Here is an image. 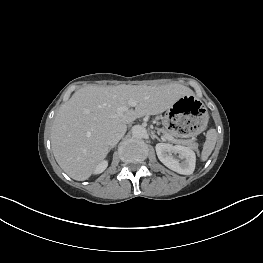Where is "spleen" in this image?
Returning a JSON list of instances; mask_svg holds the SVG:
<instances>
[{
	"instance_id": "1",
	"label": "spleen",
	"mask_w": 263,
	"mask_h": 263,
	"mask_svg": "<svg viewBox=\"0 0 263 263\" xmlns=\"http://www.w3.org/2000/svg\"><path fill=\"white\" fill-rule=\"evenodd\" d=\"M216 139H217V133H216L215 129H210L207 132L206 141L203 145V150L201 153V160L202 161H206L208 159V157L210 156V154L212 153V151L214 150L215 144H216Z\"/></svg>"
}]
</instances>
